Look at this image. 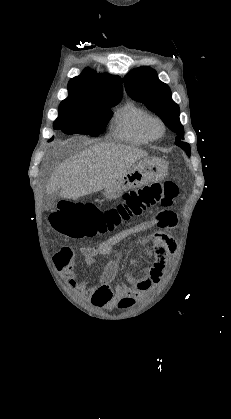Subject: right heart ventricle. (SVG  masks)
Instances as JSON below:
<instances>
[{"mask_svg": "<svg viewBox=\"0 0 231 419\" xmlns=\"http://www.w3.org/2000/svg\"><path fill=\"white\" fill-rule=\"evenodd\" d=\"M150 114L134 104H126L115 116L113 134L124 141L146 144L152 141L146 130V121Z\"/></svg>", "mask_w": 231, "mask_h": 419, "instance_id": "1", "label": "right heart ventricle"}]
</instances>
